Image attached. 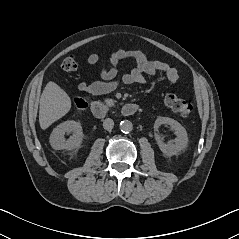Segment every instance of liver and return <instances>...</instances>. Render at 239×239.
I'll return each mask as SVG.
<instances>
[{
	"instance_id": "liver-1",
	"label": "liver",
	"mask_w": 239,
	"mask_h": 239,
	"mask_svg": "<svg viewBox=\"0 0 239 239\" xmlns=\"http://www.w3.org/2000/svg\"><path fill=\"white\" fill-rule=\"evenodd\" d=\"M71 109V99L55 82H48L40 98L39 124L47 129Z\"/></svg>"
}]
</instances>
